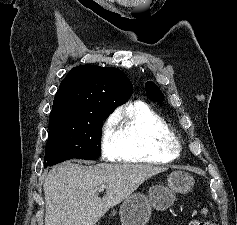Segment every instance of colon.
<instances>
[{
  "label": "colon",
  "mask_w": 237,
  "mask_h": 225,
  "mask_svg": "<svg viewBox=\"0 0 237 225\" xmlns=\"http://www.w3.org/2000/svg\"><path fill=\"white\" fill-rule=\"evenodd\" d=\"M192 225H216V223L212 220L204 219V220H194L192 222Z\"/></svg>",
  "instance_id": "obj_1"
}]
</instances>
